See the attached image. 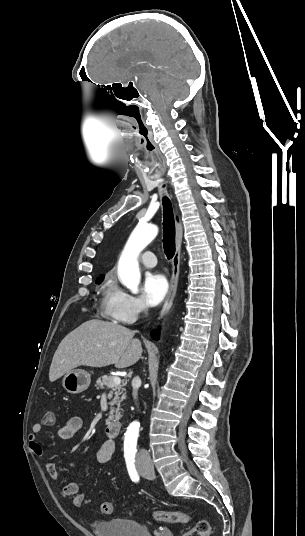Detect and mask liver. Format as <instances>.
<instances>
[{"label": "liver", "mask_w": 305, "mask_h": 536, "mask_svg": "<svg viewBox=\"0 0 305 536\" xmlns=\"http://www.w3.org/2000/svg\"><path fill=\"white\" fill-rule=\"evenodd\" d=\"M133 336L131 330L118 324L102 320L84 322L59 344L50 366V382H55L78 366H133L143 352L140 340H133Z\"/></svg>", "instance_id": "1"}]
</instances>
